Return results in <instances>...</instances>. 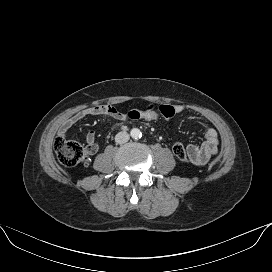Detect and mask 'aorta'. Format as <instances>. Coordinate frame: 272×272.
<instances>
[{
    "mask_svg": "<svg viewBox=\"0 0 272 272\" xmlns=\"http://www.w3.org/2000/svg\"><path fill=\"white\" fill-rule=\"evenodd\" d=\"M130 135L133 139H139L142 136L141 131L138 128H133L130 131Z\"/></svg>",
    "mask_w": 272,
    "mask_h": 272,
    "instance_id": "1",
    "label": "aorta"
}]
</instances>
